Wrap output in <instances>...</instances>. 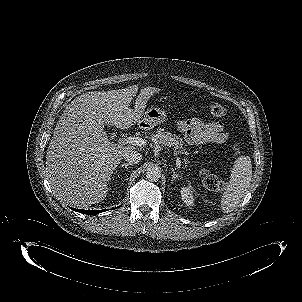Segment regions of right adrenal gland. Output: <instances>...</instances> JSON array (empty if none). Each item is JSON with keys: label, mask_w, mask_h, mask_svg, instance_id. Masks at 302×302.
I'll use <instances>...</instances> for the list:
<instances>
[{"label": "right adrenal gland", "mask_w": 302, "mask_h": 302, "mask_svg": "<svg viewBox=\"0 0 302 302\" xmlns=\"http://www.w3.org/2000/svg\"><path fill=\"white\" fill-rule=\"evenodd\" d=\"M132 165L131 163H123V164H120L119 167H125L126 169L128 168V166Z\"/></svg>", "instance_id": "obj_1"}]
</instances>
